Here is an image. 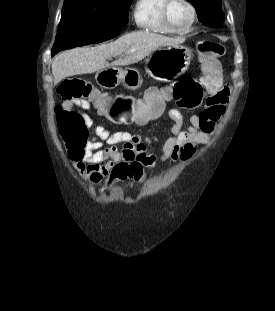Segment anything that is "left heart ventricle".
I'll return each mask as SVG.
<instances>
[{"label":"left heart ventricle","instance_id":"obj_1","mask_svg":"<svg viewBox=\"0 0 275 311\" xmlns=\"http://www.w3.org/2000/svg\"><path fill=\"white\" fill-rule=\"evenodd\" d=\"M169 18L175 27L184 28L191 20V10L183 0H175L169 8Z\"/></svg>","mask_w":275,"mask_h":311}]
</instances>
